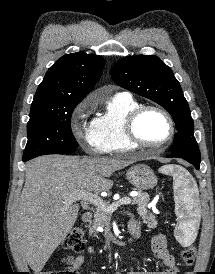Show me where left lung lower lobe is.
Here are the masks:
<instances>
[{"label":"left lung lower lobe","mask_w":215,"mask_h":274,"mask_svg":"<svg viewBox=\"0 0 215 274\" xmlns=\"http://www.w3.org/2000/svg\"><path fill=\"white\" fill-rule=\"evenodd\" d=\"M168 157L183 158V159H185L186 161H188L189 163L193 164V166H194L196 169H199V168H200V161H201L200 158H190V157L180 156V155H176V154H171V155H169Z\"/></svg>","instance_id":"left-lung-lower-lobe-1"}]
</instances>
